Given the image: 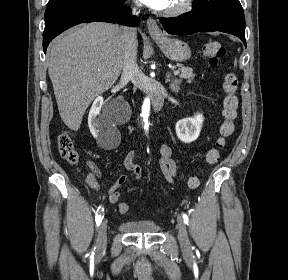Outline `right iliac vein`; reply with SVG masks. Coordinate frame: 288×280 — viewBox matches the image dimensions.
<instances>
[{"instance_id":"1","label":"right iliac vein","mask_w":288,"mask_h":280,"mask_svg":"<svg viewBox=\"0 0 288 280\" xmlns=\"http://www.w3.org/2000/svg\"><path fill=\"white\" fill-rule=\"evenodd\" d=\"M106 244H107V223L104 220L99 227L97 238V254H100L105 250Z\"/></svg>"}]
</instances>
